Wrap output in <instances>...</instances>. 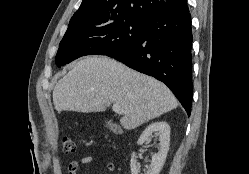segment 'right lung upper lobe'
Masks as SVG:
<instances>
[{
  "label": "right lung upper lobe",
  "mask_w": 249,
  "mask_h": 174,
  "mask_svg": "<svg viewBox=\"0 0 249 174\" xmlns=\"http://www.w3.org/2000/svg\"><path fill=\"white\" fill-rule=\"evenodd\" d=\"M186 7V0H83L67 30L103 25L123 18L147 20Z\"/></svg>",
  "instance_id": "right-lung-upper-lobe-1"
}]
</instances>
